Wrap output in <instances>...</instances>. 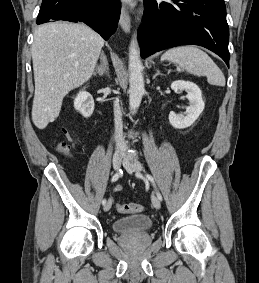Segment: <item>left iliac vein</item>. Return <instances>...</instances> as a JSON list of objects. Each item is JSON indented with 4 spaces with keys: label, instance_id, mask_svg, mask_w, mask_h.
Listing matches in <instances>:
<instances>
[{
    "label": "left iliac vein",
    "instance_id": "4c4485c4",
    "mask_svg": "<svg viewBox=\"0 0 259 283\" xmlns=\"http://www.w3.org/2000/svg\"><path fill=\"white\" fill-rule=\"evenodd\" d=\"M123 166L127 170V172L130 173V174H132L134 172H140L143 169L142 165L139 162L132 160L130 158L124 159ZM152 204L156 209L161 208L160 200L158 199V197H156L154 195L152 196Z\"/></svg>",
    "mask_w": 259,
    "mask_h": 283
}]
</instances>
